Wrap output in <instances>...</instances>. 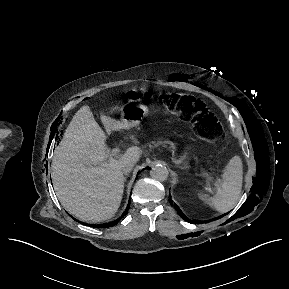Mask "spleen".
Instances as JSON below:
<instances>
[{"label": "spleen", "instance_id": "3e777b00", "mask_svg": "<svg viewBox=\"0 0 289 289\" xmlns=\"http://www.w3.org/2000/svg\"><path fill=\"white\" fill-rule=\"evenodd\" d=\"M243 183V165L239 156H234L223 170L212 197L202 195L201 199L220 213L230 211L239 200Z\"/></svg>", "mask_w": 289, "mask_h": 289}]
</instances>
